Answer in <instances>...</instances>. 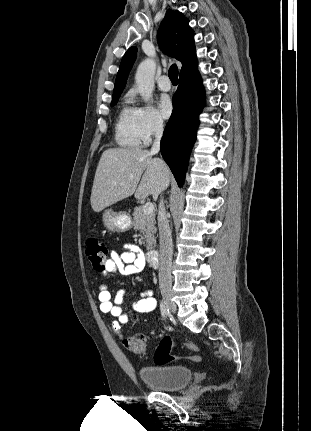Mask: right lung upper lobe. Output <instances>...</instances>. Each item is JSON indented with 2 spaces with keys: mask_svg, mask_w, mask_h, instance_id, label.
<instances>
[{
  "mask_svg": "<svg viewBox=\"0 0 311 431\" xmlns=\"http://www.w3.org/2000/svg\"><path fill=\"white\" fill-rule=\"evenodd\" d=\"M189 20L179 11L169 9L160 24L157 41L160 49L182 63L180 76L197 67V57L193 31L188 26ZM136 47L129 48L123 56L113 90V98L120 97L128 74L136 59Z\"/></svg>",
  "mask_w": 311,
  "mask_h": 431,
  "instance_id": "obj_1",
  "label": "right lung upper lobe"
}]
</instances>
